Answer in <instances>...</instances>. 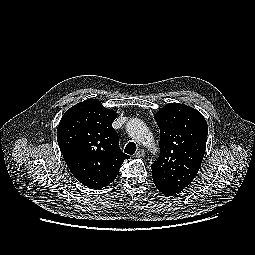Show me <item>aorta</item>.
I'll use <instances>...</instances> for the list:
<instances>
[{"label":"aorta","mask_w":255,"mask_h":255,"mask_svg":"<svg viewBox=\"0 0 255 255\" xmlns=\"http://www.w3.org/2000/svg\"><path fill=\"white\" fill-rule=\"evenodd\" d=\"M130 137L145 147L153 148L152 135L144 122L139 118L131 119L126 125Z\"/></svg>","instance_id":"aorta-1"}]
</instances>
